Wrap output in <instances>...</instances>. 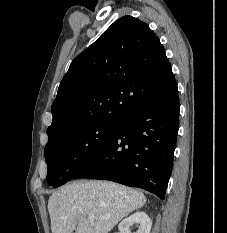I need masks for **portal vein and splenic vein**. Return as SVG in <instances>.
<instances>
[{
    "label": "portal vein and splenic vein",
    "mask_w": 227,
    "mask_h": 233,
    "mask_svg": "<svg viewBox=\"0 0 227 233\" xmlns=\"http://www.w3.org/2000/svg\"><path fill=\"white\" fill-rule=\"evenodd\" d=\"M88 218H89L90 221H93L94 218H95V216H94L93 213H89V214H88ZM101 219H104V217H102Z\"/></svg>",
    "instance_id": "18ae733b"
}]
</instances>
